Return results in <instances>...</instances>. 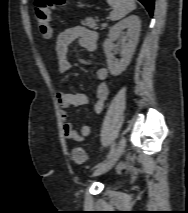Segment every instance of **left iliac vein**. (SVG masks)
Listing matches in <instances>:
<instances>
[{
	"mask_svg": "<svg viewBox=\"0 0 188 213\" xmlns=\"http://www.w3.org/2000/svg\"><path fill=\"white\" fill-rule=\"evenodd\" d=\"M126 147V139L125 137H122L121 140L118 143L117 148L115 149V152L113 156L104 164H102L100 167H98L94 173L93 176H99L101 174H104L105 172L109 171L115 163L118 161V159L121 157L123 154L124 150Z\"/></svg>",
	"mask_w": 188,
	"mask_h": 213,
	"instance_id": "1",
	"label": "left iliac vein"
}]
</instances>
